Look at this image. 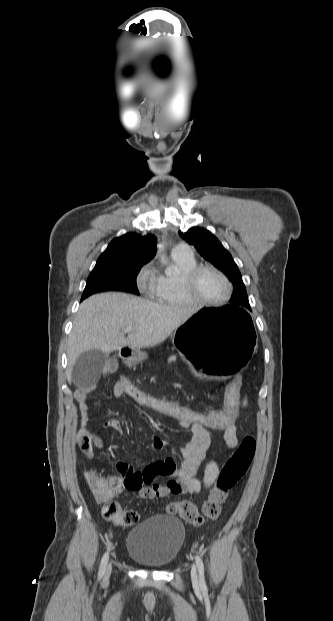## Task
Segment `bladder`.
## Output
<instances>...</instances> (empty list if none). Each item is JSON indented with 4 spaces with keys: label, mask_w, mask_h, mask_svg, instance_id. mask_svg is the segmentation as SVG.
Masks as SVG:
<instances>
[{
    "label": "bladder",
    "mask_w": 333,
    "mask_h": 621,
    "mask_svg": "<svg viewBox=\"0 0 333 621\" xmlns=\"http://www.w3.org/2000/svg\"><path fill=\"white\" fill-rule=\"evenodd\" d=\"M184 541L185 527L179 518L155 515L130 531L127 552L138 564L162 569L177 558Z\"/></svg>",
    "instance_id": "bladder-1"
}]
</instances>
